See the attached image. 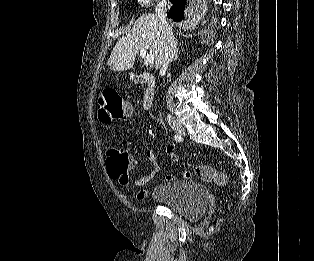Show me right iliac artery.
Masks as SVG:
<instances>
[{
    "label": "right iliac artery",
    "mask_w": 314,
    "mask_h": 261,
    "mask_svg": "<svg viewBox=\"0 0 314 261\" xmlns=\"http://www.w3.org/2000/svg\"><path fill=\"white\" fill-rule=\"evenodd\" d=\"M174 139H175V141H177V142H181V141H182V138H181L180 135H175V136H174Z\"/></svg>",
    "instance_id": "right-iliac-artery-1"
}]
</instances>
